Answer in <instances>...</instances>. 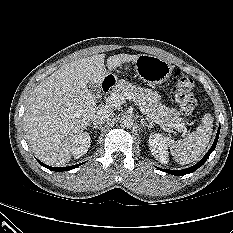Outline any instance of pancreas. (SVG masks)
<instances>
[{"instance_id":"1","label":"pancreas","mask_w":233,"mask_h":233,"mask_svg":"<svg viewBox=\"0 0 233 233\" xmlns=\"http://www.w3.org/2000/svg\"><path fill=\"white\" fill-rule=\"evenodd\" d=\"M126 93L133 96L134 101L138 102L149 114L161 120L166 125L180 124L182 119L180 113L175 108H168L160 102V96L151 89L129 83L126 80H119L111 95H117L126 99Z\"/></svg>"}]
</instances>
